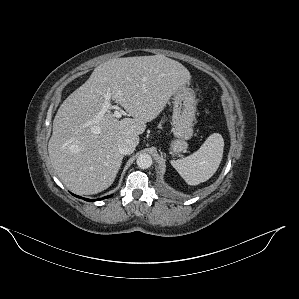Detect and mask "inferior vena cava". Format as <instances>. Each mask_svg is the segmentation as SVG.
<instances>
[{
    "label": "inferior vena cava",
    "instance_id": "602c4592",
    "mask_svg": "<svg viewBox=\"0 0 299 299\" xmlns=\"http://www.w3.org/2000/svg\"><path fill=\"white\" fill-rule=\"evenodd\" d=\"M136 144L131 139L122 140L119 143L118 150L123 155H129L134 152Z\"/></svg>",
    "mask_w": 299,
    "mask_h": 299
}]
</instances>
